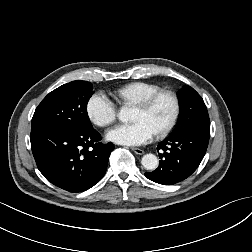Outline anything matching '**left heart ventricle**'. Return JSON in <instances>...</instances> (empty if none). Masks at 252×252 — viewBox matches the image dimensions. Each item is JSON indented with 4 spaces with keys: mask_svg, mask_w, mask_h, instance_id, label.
Here are the masks:
<instances>
[{
    "mask_svg": "<svg viewBox=\"0 0 252 252\" xmlns=\"http://www.w3.org/2000/svg\"><path fill=\"white\" fill-rule=\"evenodd\" d=\"M172 110V101L169 97L163 96L159 98L153 107L148 111H144L136 107L132 120H143L156 132L168 123Z\"/></svg>",
    "mask_w": 252,
    "mask_h": 252,
    "instance_id": "b2bd125f",
    "label": "left heart ventricle"
}]
</instances>
